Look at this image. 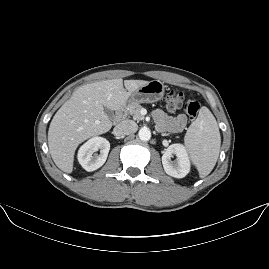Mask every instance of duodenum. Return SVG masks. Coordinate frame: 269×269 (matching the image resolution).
I'll list each match as a JSON object with an SVG mask.
<instances>
[{"label": "duodenum", "mask_w": 269, "mask_h": 269, "mask_svg": "<svg viewBox=\"0 0 269 269\" xmlns=\"http://www.w3.org/2000/svg\"><path fill=\"white\" fill-rule=\"evenodd\" d=\"M125 115H126L125 107L124 106L118 107L114 117L115 123H120L125 118Z\"/></svg>", "instance_id": "duodenum-1"}]
</instances>
